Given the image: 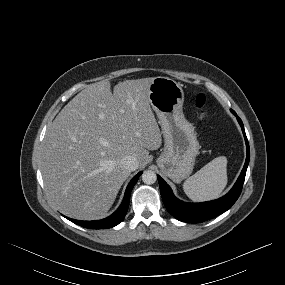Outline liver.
Here are the masks:
<instances>
[{"label": "liver", "instance_id": "liver-1", "mask_svg": "<svg viewBox=\"0 0 285 285\" xmlns=\"http://www.w3.org/2000/svg\"><path fill=\"white\" fill-rule=\"evenodd\" d=\"M153 80H125L113 93L107 81L88 85L49 126L41 170L48 197L63 214L104 217L131 172L121 160L133 155L143 166L149 150L161 146L149 102Z\"/></svg>", "mask_w": 285, "mask_h": 285}]
</instances>
